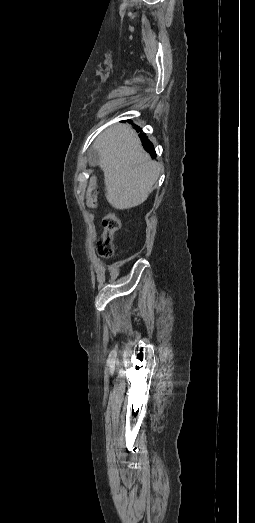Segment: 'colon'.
Returning <instances> with one entry per match:
<instances>
[{"label":"colon","mask_w":255,"mask_h":523,"mask_svg":"<svg viewBox=\"0 0 255 523\" xmlns=\"http://www.w3.org/2000/svg\"><path fill=\"white\" fill-rule=\"evenodd\" d=\"M87 205L90 208H95L97 204V188L96 181L94 178L90 180L87 194H86ZM103 232L99 238L96 250L99 256L102 258H110L114 254V236L120 229V221L114 213H108L104 216L103 221Z\"/></svg>","instance_id":"1"}]
</instances>
